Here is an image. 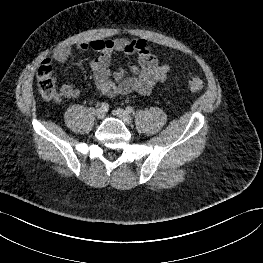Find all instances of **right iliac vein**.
Instances as JSON below:
<instances>
[{"instance_id": "1", "label": "right iliac vein", "mask_w": 263, "mask_h": 263, "mask_svg": "<svg viewBox=\"0 0 263 263\" xmlns=\"http://www.w3.org/2000/svg\"><path fill=\"white\" fill-rule=\"evenodd\" d=\"M104 116H105V110L102 109V108L97 109V111H96V117H97L98 119H103Z\"/></svg>"}]
</instances>
